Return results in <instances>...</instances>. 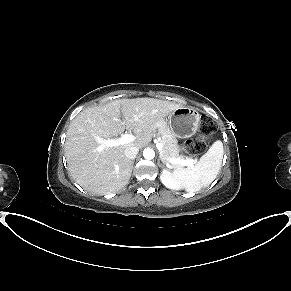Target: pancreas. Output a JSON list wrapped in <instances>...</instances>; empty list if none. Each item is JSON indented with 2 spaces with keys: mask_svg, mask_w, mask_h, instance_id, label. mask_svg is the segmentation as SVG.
I'll return each instance as SVG.
<instances>
[{
  "mask_svg": "<svg viewBox=\"0 0 291 291\" xmlns=\"http://www.w3.org/2000/svg\"><path fill=\"white\" fill-rule=\"evenodd\" d=\"M158 134L161 137V143L163 144V149L160 151V158L164 163H171V159H181L184 160L183 157L179 155V147L177 145V140L175 136L172 134L170 128L163 124L158 129ZM181 166L179 163H171V167H179Z\"/></svg>",
  "mask_w": 291,
  "mask_h": 291,
  "instance_id": "pancreas-1",
  "label": "pancreas"
}]
</instances>
